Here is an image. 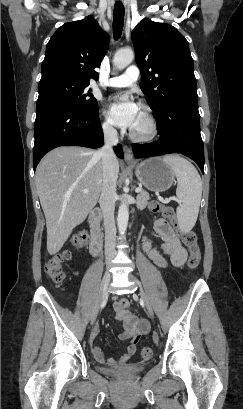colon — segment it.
Returning a JSON list of instances; mask_svg holds the SVG:
<instances>
[{"label": "colon", "mask_w": 243, "mask_h": 409, "mask_svg": "<svg viewBox=\"0 0 243 409\" xmlns=\"http://www.w3.org/2000/svg\"><path fill=\"white\" fill-rule=\"evenodd\" d=\"M150 209L155 214H160L167 218L171 224L177 229V232L184 243L189 249V259L187 266L189 269H196L201 261V250L197 243V235L193 230H180L177 226L175 219V212L172 207L162 204L159 201H152ZM88 237L85 234L75 236L73 242L77 248H82L87 243ZM71 256L70 251L64 250L52 256L45 265V272L50 280L57 286H61L65 281V274L62 266ZM141 357L144 360H148L153 355V350L150 347H143L141 349Z\"/></svg>", "instance_id": "5ec220e1"}]
</instances>
